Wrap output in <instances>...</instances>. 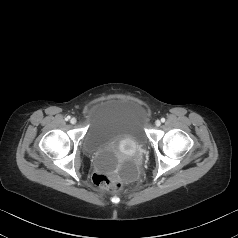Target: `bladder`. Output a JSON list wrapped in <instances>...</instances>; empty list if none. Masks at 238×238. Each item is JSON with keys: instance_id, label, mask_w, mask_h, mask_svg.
<instances>
[{"instance_id": "bladder-1", "label": "bladder", "mask_w": 238, "mask_h": 238, "mask_svg": "<svg viewBox=\"0 0 238 238\" xmlns=\"http://www.w3.org/2000/svg\"><path fill=\"white\" fill-rule=\"evenodd\" d=\"M146 106L130 97H108L88 106L84 112L85 134L82 149L93 166L103 172L117 164L116 148L129 143L137 148L147 143Z\"/></svg>"}]
</instances>
